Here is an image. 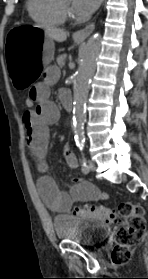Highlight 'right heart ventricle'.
<instances>
[{
  "label": "right heart ventricle",
  "instance_id": "obj_1",
  "mask_svg": "<svg viewBox=\"0 0 148 279\" xmlns=\"http://www.w3.org/2000/svg\"><path fill=\"white\" fill-rule=\"evenodd\" d=\"M30 17L44 26H59L65 22L66 14L59 6L58 0H27Z\"/></svg>",
  "mask_w": 148,
  "mask_h": 279
}]
</instances>
